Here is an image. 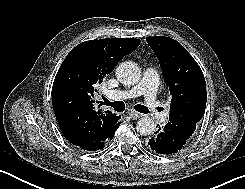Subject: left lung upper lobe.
Wrapping results in <instances>:
<instances>
[{
  "instance_id": "obj_1",
  "label": "left lung upper lobe",
  "mask_w": 245,
  "mask_h": 189,
  "mask_svg": "<svg viewBox=\"0 0 245 189\" xmlns=\"http://www.w3.org/2000/svg\"><path fill=\"white\" fill-rule=\"evenodd\" d=\"M159 59L164 81L172 95L170 121L165 129L176 140L188 141L204 115L206 82L201 68L176 40L165 36L147 37Z\"/></svg>"
}]
</instances>
